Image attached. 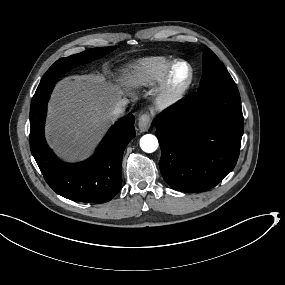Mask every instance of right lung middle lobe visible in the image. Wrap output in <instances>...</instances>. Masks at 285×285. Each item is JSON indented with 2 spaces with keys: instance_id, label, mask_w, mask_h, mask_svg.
<instances>
[{
  "instance_id": "dd1d6c3e",
  "label": "right lung middle lobe",
  "mask_w": 285,
  "mask_h": 285,
  "mask_svg": "<svg viewBox=\"0 0 285 285\" xmlns=\"http://www.w3.org/2000/svg\"><path fill=\"white\" fill-rule=\"evenodd\" d=\"M115 47H102V48H93L88 49L84 52L71 55L66 58H61L57 60L46 72L38 88L46 87L52 82L61 76L63 73L71 70L72 68L76 67L77 65L88 63L94 59L101 58L106 55L108 52L114 50Z\"/></svg>"
}]
</instances>
